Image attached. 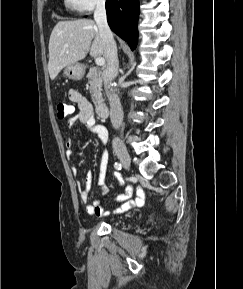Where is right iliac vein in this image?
Here are the masks:
<instances>
[{
  "instance_id": "obj_1",
  "label": "right iliac vein",
  "mask_w": 243,
  "mask_h": 289,
  "mask_svg": "<svg viewBox=\"0 0 243 289\" xmlns=\"http://www.w3.org/2000/svg\"><path fill=\"white\" fill-rule=\"evenodd\" d=\"M117 156H118L121 164L123 165V167L125 169L129 170L130 165H131V159H130L128 152L126 150H121L117 153Z\"/></svg>"
}]
</instances>
